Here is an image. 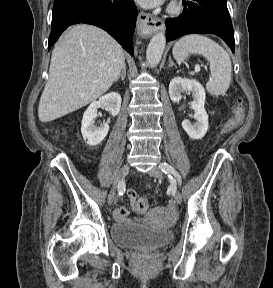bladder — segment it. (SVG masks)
I'll return each mask as SVG.
<instances>
[{
  "instance_id": "1",
  "label": "bladder",
  "mask_w": 273,
  "mask_h": 288,
  "mask_svg": "<svg viewBox=\"0 0 273 288\" xmlns=\"http://www.w3.org/2000/svg\"><path fill=\"white\" fill-rule=\"evenodd\" d=\"M110 238L119 248L154 250L170 243L174 234L171 230L154 229L139 222H123L110 227Z\"/></svg>"
}]
</instances>
